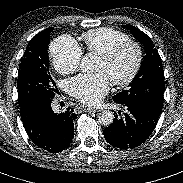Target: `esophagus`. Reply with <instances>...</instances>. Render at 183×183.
<instances>
[{
    "label": "esophagus",
    "mask_w": 183,
    "mask_h": 183,
    "mask_svg": "<svg viewBox=\"0 0 183 183\" xmlns=\"http://www.w3.org/2000/svg\"><path fill=\"white\" fill-rule=\"evenodd\" d=\"M78 110H83V111H88V112H91V111H95L94 108H90V107H87V106H79L77 107Z\"/></svg>",
    "instance_id": "1"
}]
</instances>
